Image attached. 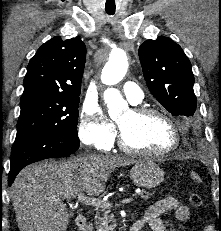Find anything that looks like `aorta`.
Listing matches in <instances>:
<instances>
[{"mask_svg": "<svg viewBox=\"0 0 221 231\" xmlns=\"http://www.w3.org/2000/svg\"><path fill=\"white\" fill-rule=\"evenodd\" d=\"M127 68L126 52L122 49H115L111 52L109 60L102 70L101 81L106 85H115L123 79ZM104 101L107 104L110 116H114L123 108L128 107L127 102L116 88H108L104 92Z\"/></svg>", "mask_w": 221, "mask_h": 231, "instance_id": "762f6f07", "label": "aorta"}]
</instances>
